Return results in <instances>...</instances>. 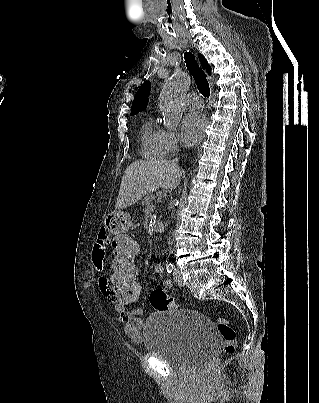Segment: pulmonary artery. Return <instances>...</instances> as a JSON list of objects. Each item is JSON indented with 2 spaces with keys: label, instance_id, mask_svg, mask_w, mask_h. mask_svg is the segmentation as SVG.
Masks as SVG:
<instances>
[{
  "label": "pulmonary artery",
  "instance_id": "1",
  "mask_svg": "<svg viewBox=\"0 0 319 403\" xmlns=\"http://www.w3.org/2000/svg\"><path fill=\"white\" fill-rule=\"evenodd\" d=\"M184 104L188 109H190L192 111H198V110L202 109V107H203V101H202L201 97H199L195 93L188 94L185 97Z\"/></svg>",
  "mask_w": 319,
  "mask_h": 403
}]
</instances>
